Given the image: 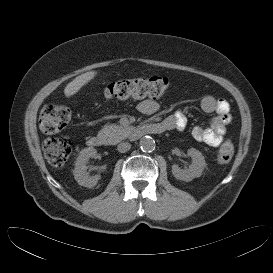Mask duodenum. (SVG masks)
Returning <instances> with one entry per match:
<instances>
[{"instance_id": "410a0bca", "label": "duodenum", "mask_w": 273, "mask_h": 273, "mask_svg": "<svg viewBox=\"0 0 273 273\" xmlns=\"http://www.w3.org/2000/svg\"><path fill=\"white\" fill-rule=\"evenodd\" d=\"M167 130L163 123L157 124H143L138 125L133 129L132 138L139 139L148 134H160ZM87 143L91 147H103L107 143V139L102 134H96L88 138Z\"/></svg>"}]
</instances>
